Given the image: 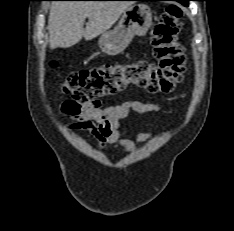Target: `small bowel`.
I'll use <instances>...</instances> for the list:
<instances>
[{
    "label": "small bowel",
    "mask_w": 234,
    "mask_h": 231,
    "mask_svg": "<svg viewBox=\"0 0 234 231\" xmlns=\"http://www.w3.org/2000/svg\"><path fill=\"white\" fill-rule=\"evenodd\" d=\"M161 111V106L153 102L128 100L118 105L102 106L97 100L86 103L66 125L71 131H86L97 142L101 149L117 146L126 152L136 149V143L121 139L119 136L120 121L130 113L148 114ZM152 133L144 132L137 136V143H144L152 138Z\"/></svg>",
    "instance_id": "c3829d8e"
}]
</instances>
